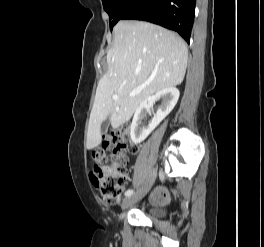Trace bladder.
<instances>
[{
  "instance_id": "31cf9c89",
  "label": "bladder",
  "mask_w": 264,
  "mask_h": 247,
  "mask_svg": "<svg viewBox=\"0 0 264 247\" xmlns=\"http://www.w3.org/2000/svg\"><path fill=\"white\" fill-rule=\"evenodd\" d=\"M149 214L155 220H160L163 218L162 210L159 207H150Z\"/></svg>"
}]
</instances>
